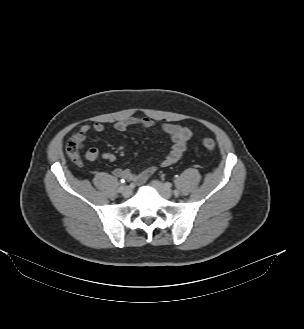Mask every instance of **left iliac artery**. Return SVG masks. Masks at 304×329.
<instances>
[{"mask_svg":"<svg viewBox=\"0 0 304 329\" xmlns=\"http://www.w3.org/2000/svg\"><path fill=\"white\" fill-rule=\"evenodd\" d=\"M174 194L175 195H179V191L178 190H174Z\"/></svg>","mask_w":304,"mask_h":329,"instance_id":"44dca946","label":"left iliac artery"}]
</instances>
